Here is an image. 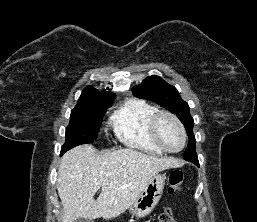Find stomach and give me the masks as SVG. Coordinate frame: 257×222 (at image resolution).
Segmentation results:
<instances>
[{
    "label": "stomach",
    "mask_w": 257,
    "mask_h": 222,
    "mask_svg": "<svg viewBox=\"0 0 257 222\" xmlns=\"http://www.w3.org/2000/svg\"><path fill=\"white\" fill-rule=\"evenodd\" d=\"M164 174H155L148 182L145 189L128 208L132 217L141 218L149 215L158 204L165 184Z\"/></svg>",
    "instance_id": "0dacf381"
}]
</instances>
